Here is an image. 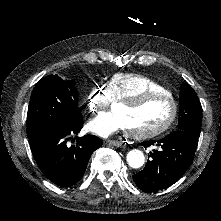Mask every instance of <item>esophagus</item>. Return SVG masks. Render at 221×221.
Wrapping results in <instances>:
<instances>
[{"label":"esophagus","instance_id":"obj_1","mask_svg":"<svg viewBox=\"0 0 221 221\" xmlns=\"http://www.w3.org/2000/svg\"><path fill=\"white\" fill-rule=\"evenodd\" d=\"M106 144L107 145H112V146H115V147H124L125 144L121 141H116V140H107L106 141Z\"/></svg>","mask_w":221,"mask_h":221}]
</instances>
